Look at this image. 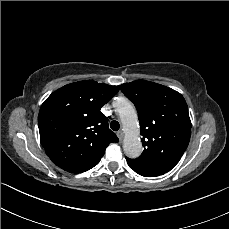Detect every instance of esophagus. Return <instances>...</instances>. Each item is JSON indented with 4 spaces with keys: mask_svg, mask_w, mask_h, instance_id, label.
<instances>
[{
    "mask_svg": "<svg viewBox=\"0 0 229 229\" xmlns=\"http://www.w3.org/2000/svg\"><path fill=\"white\" fill-rule=\"evenodd\" d=\"M116 134H117V137L119 138V140L122 141L123 140V137H124L123 131L122 130H119V131H117Z\"/></svg>",
    "mask_w": 229,
    "mask_h": 229,
    "instance_id": "34e87169",
    "label": "esophagus"
}]
</instances>
